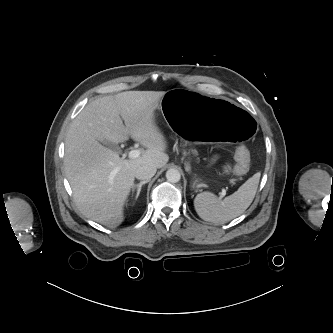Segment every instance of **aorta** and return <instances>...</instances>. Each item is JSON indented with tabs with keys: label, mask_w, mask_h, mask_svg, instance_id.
<instances>
[{
	"label": "aorta",
	"mask_w": 333,
	"mask_h": 333,
	"mask_svg": "<svg viewBox=\"0 0 333 333\" xmlns=\"http://www.w3.org/2000/svg\"><path fill=\"white\" fill-rule=\"evenodd\" d=\"M166 179L171 183H177L181 179L180 172L177 169H168L166 172Z\"/></svg>",
	"instance_id": "aorta-1"
}]
</instances>
